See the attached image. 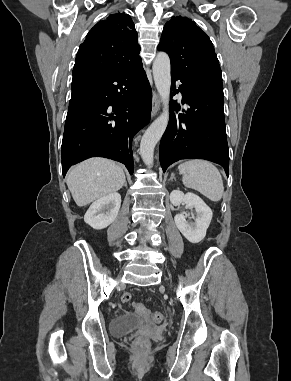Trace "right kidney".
I'll list each match as a JSON object with an SVG mask.
<instances>
[{"label": "right kidney", "mask_w": 291, "mask_h": 381, "mask_svg": "<svg viewBox=\"0 0 291 381\" xmlns=\"http://www.w3.org/2000/svg\"><path fill=\"white\" fill-rule=\"evenodd\" d=\"M120 206V194L111 193L92 203L84 216V221L93 229H104L116 219Z\"/></svg>", "instance_id": "1"}]
</instances>
